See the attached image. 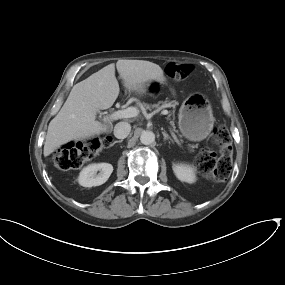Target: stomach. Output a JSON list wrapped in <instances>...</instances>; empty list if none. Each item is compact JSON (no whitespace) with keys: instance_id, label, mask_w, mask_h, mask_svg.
Here are the masks:
<instances>
[{"instance_id":"stomach-1","label":"stomach","mask_w":285,"mask_h":285,"mask_svg":"<svg viewBox=\"0 0 285 285\" xmlns=\"http://www.w3.org/2000/svg\"><path fill=\"white\" fill-rule=\"evenodd\" d=\"M178 118L180 132L191 141L205 139L213 129L211 106L199 95H191L183 101Z\"/></svg>"}]
</instances>
